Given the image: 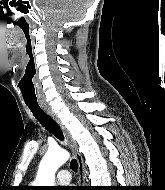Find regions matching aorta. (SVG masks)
Masks as SVG:
<instances>
[{"mask_svg": "<svg viewBox=\"0 0 165 190\" xmlns=\"http://www.w3.org/2000/svg\"><path fill=\"white\" fill-rule=\"evenodd\" d=\"M68 159L69 153L66 150L60 148L49 149L39 166L36 178L37 186H54L57 169Z\"/></svg>", "mask_w": 165, "mask_h": 190, "instance_id": "aorta-1", "label": "aorta"}]
</instances>
